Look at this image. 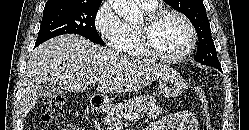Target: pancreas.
Returning <instances> with one entry per match:
<instances>
[{
    "instance_id": "cf45deb5",
    "label": "pancreas",
    "mask_w": 249,
    "mask_h": 130,
    "mask_svg": "<svg viewBox=\"0 0 249 130\" xmlns=\"http://www.w3.org/2000/svg\"><path fill=\"white\" fill-rule=\"evenodd\" d=\"M162 108L156 104V99L150 95L140 96L127 100L113 107L103 122L108 129L117 130L127 114L139 113L146 119H157L162 114Z\"/></svg>"
}]
</instances>
